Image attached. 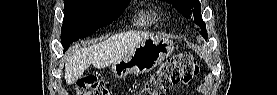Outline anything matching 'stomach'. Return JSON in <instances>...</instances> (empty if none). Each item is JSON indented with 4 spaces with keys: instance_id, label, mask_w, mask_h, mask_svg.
<instances>
[{
    "instance_id": "1",
    "label": "stomach",
    "mask_w": 277,
    "mask_h": 95,
    "mask_svg": "<svg viewBox=\"0 0 277 95\" xmlns=\"http://www.w3.org/2000/svg\"><path fill=\"white\" fill-rule=\"evenodd\" d=\"M173 51L174 43L170 39L150 37L113 63L111 71L116 78L147 73L169 57Z\"/></svg>"
}]
</instances>
